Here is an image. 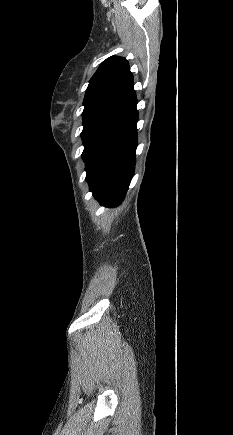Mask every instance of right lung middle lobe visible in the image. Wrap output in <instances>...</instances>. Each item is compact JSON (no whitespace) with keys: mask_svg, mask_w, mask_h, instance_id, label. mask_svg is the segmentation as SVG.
Masks as SVG:
<instances>
[{"mask_svg":"<svg viewBox=\"0 0 233 435\" xmlns=\"http://www.w3.org/2000/svg\"><path fill=\"white\" fill-rule=\"evenodd\" d=\"M123 119V116L114 114H97L83 117L81 137L84 151L82 158L85 160L104 137Z\"/></svg>","mask_w":233,"mask_h":435,"instance_id":"right-lung-middle-lobe-1","label":"right lung middle lobe"}]
</instances>
